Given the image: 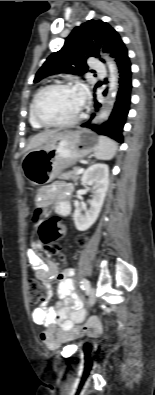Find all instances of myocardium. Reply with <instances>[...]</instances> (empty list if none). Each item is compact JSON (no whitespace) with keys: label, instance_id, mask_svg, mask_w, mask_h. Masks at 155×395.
<instances>
[{"label":"myocardium","instance_id":"1","mask_svg":"<svg viewBox=\"0 0 155 395\" xmlns=\"http://www.w3.org/2000/svg\"><path fill=\"white\" fill-rule=\"evenodd\" d=\"M55 88H76V86L71 83V82H66V81H59V82H54L48 85H45L44 87L40 88L36 94L34 95L32 102H31V113L38 125L41 127H47V128H67V127H72L75 124L79 122L81 119V110L78 112V114L71 120L66 121V122H47L43 120L39 113H38V102L40 97L47 92L50 89H55Z\"/></svg>","mask_w":155,"mask_h":395}]
</instances>
